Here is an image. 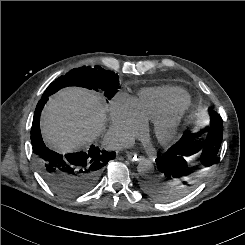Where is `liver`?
Masks as SVG:
<instances>
[{
    "mask_svg": "<svg viewBox=\"0 0 245 245\" xmlns=\"http://www.w3.org/2000/svg\"><path fill=\"white\" fill-rule=\"evenodd\" d=\"M105 112L97 94L75 87L63 89L50 99L42 112L44 141L62 153L90 144L104 128Z\"/></svg>",
    "mask_w": 245,
    "mask_h": 245,
    "instance_id": "liver-1",
    "label": "liver"
}]
</instances>
